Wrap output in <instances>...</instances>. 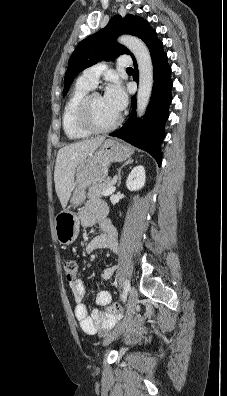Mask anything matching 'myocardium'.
Listing matches in <instances>:
<instances>
[{
  "label": "myocardium",
  "mask_w": 227,
  "mask_h": 396,
  "mask_svg": "<svg viewBox=\"0 0 227 396\" xmlns=\"http://www.w3.org/2000/svg\"><path fill=\"white\" fill-rule=\"evenodd\" d=\"M97 95H100V93L97 91H89L81 99L78 106V120L81 126L91 133H106L115 129L121 123L122 117L118 115L112 123L105 126L98 125L94 121L91 112L92 99Z\"/></svg>",
  "instance_id": "obj_1"
}]
</instances>
